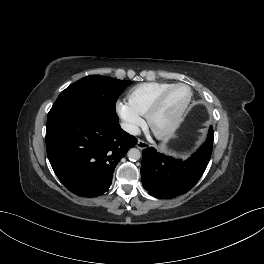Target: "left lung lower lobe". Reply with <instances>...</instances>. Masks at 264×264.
Masks as SVG:
<instances>
[{
	"label": "left lung lower lobe",
	"instance_id": "left-lung-lower-lobe-1",
	"mask_svg": "<svg viewBox=\"0 0 264 264\" xmlns=\"http://www.w3.org/2000/svg\"><path fill=\"white\" fill-rule=\"evenodd\" d=\"M213 136L211 126L204 145L185 161L165 156L153 147L144 149L141 177L148 194L157 198H174L189 191L207 167L213 147Z\"/></svg>",
	"mask_w": 264,
	"mask_h": 264
}]
</instances>
